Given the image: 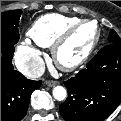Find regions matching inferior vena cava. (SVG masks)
<instances>
[{
    "mask_svg": "<svg viewBox=\"0 0 121 121\" xmlns=\"http://www.w3.org/2000/svg\"><path fill=\"white\" fill-rule=\"evenodd\" d=\"M17 69L28 78H39L45 72V64L43 59L38 57L29 64H19Z\"/></svg>",
    "mask_w": 121,
    "mask_h": 121,
    "instance_id": "1",
    "label": "inferior vena cava"
}]
</instances>
